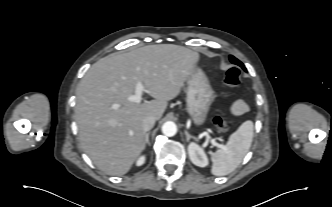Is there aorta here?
Returning a JSON list of instances; mask_svg holds the SVG:
<instances>
[{
	"instance_id": "obj_1",
	"label": "aorta",
	"mask_w": 332,
	"mask_h": 207,
	"mask_svg": "<svg viewBox=\"0 0 332 207\" xmlns=\"http://www.w3.org/2000/svg\"><path fill=\"white\" fill-rule=\"evenodd\" d=\"M162 133L166 136H174L177 133V126L172 121H167L162 126Z\"/></svg>"
}]
</instances>
